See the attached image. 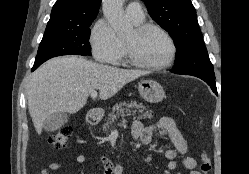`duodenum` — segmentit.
<instances>
[{"instance_id": "duodenum-1", "label": "duodenum", "mask_w": 249, "mask_h": 174, "mask_svg": "<svg viewBox=\"0 0 249 174\" xmlns=\"http://www.w3.org/2000/svg\"><path fill=\"white\" fill-rule=\"evenodd\" d=\"M87 119H88V122H89L91 125H95V124H97V122H98L97 114L94 113V112H90V113L88 114Z\"/></svg>"}]
</instances>
